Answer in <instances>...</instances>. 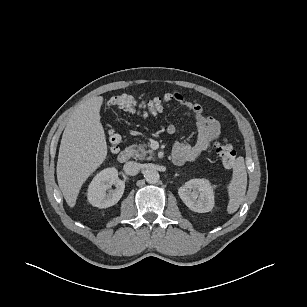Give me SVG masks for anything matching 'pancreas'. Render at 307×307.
<instances>
[{
  "label": "pancreas",
  "mask_w": 307,
  "mask_h": 307,
  "mask_svg": "<svg viewBox=\"0 0 307 307\" xmlns=\"http://www.w3.org/2000/svg\"><path fill=\"white\" fill-rule=\"evenodd\" d=\"M129 149L136 160H151L154 158L152 150H147L146 144L131 145Z\"/></svg>",
  "instance_id": "1"
}]
</instances>
